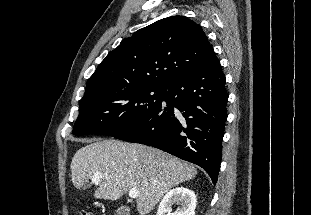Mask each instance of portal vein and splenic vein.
Returning <instances> with one entry per match:
<instances>
[{
    "label": "portal vein and splenic vein",
    "mask_w": 311,
    "mask_h": 215,
    "mask_svg": "<svg viewBox=\"0 0 311 215\" xmlns=\"http://www.w3.org/2000/svg\"><path fill=\"white\" fill-rule=\"evenodd\" d=\"M102 177H103L102 173L97 172L93 176V181L98 182ZM138 196H139V191L137 189L133 188L129 190V197L131 199L138 198Z\"/></svg>",
    "instance_id": "portal-vein-and-splenic-vein-1"
}]
</instances>
